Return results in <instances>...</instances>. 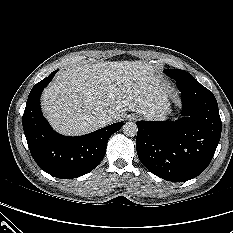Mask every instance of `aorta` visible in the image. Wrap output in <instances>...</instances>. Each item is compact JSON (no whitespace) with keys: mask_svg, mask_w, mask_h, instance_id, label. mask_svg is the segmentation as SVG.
<instances>
[{"mask_svg":"<svg viewBox=\"0 0 233 233\" xmlns=\"http://www.w3.org/2000/svg\"><path fill=\"white\" fill-rule=\"evenodd\" d=\"M123 133L128 137H134L138 132V127L134 122H126L122 127Z\"/></svg>","mask_w":233,"mask_h":233,"instance_id":"obj_1","label":"aorta"}]
</instances>
